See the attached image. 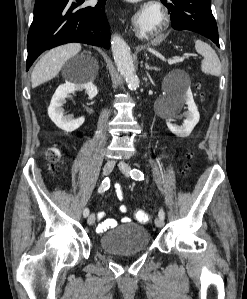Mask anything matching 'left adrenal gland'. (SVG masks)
Returning <instances> with one entry per match:
<instances>
[{
	"label": "left adrenal gland",
	"instance_id": "a2214340",
	"mask_svg": "<svg viewBox=\"0 0 247 299\" xmlns=\"http://www.w3.org/2000/svg\"><path fill=\"white\" fill-rule=\"evenodd\" d=\"M145 68H146L147 70H155V71H159V69H158V68H156V67H152V66H149V64H148V63H146V64H145Z\"/></svg>",
	"mask_w": 247,
	"mask_h": 299
}]
</instances>
